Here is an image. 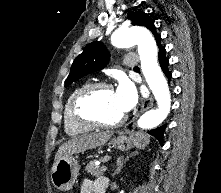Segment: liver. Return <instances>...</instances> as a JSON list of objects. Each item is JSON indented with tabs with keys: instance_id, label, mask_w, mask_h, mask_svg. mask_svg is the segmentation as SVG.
<instances>
[{
	"instance_id": "obj_1",
	"label": "liver",
	"mask_w": 221,
	"mask_h": 193,
	"mask_svg": "<svg viewBox=\"0 0 221 193\" xmlns=\"http://www.w3.org/2000/svg\"><path fill=\"white\" fill-rule=\"evenodd\" d=\"M111 135V132H96L73 137L59 147L55 155V162L63 157L103 146Z\"/></svg>"
}]
</instances>
